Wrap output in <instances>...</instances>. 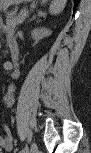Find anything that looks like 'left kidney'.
Instances as JSON below:
<instances>
[{"label": "left kidney", "instance_id": "left-kidney-1", "mask_svg": "<svg viewBox=\"0 0 91 153\" xmlns=\"http://www.w3.org/2000/svg\"><path fill=\"white\" fill-rule=\"evenodd\" d=\"M51 31L47 28H40V29H34L32 31V37L35 39V40H40L44 37H48L51 35Z\"/></svg>", "mask_w": 91, "mask_h": 153}]
</instances>
